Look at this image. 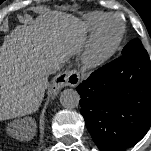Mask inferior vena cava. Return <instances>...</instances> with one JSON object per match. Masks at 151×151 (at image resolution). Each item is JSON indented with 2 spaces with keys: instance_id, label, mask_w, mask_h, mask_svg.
Here are the masks:
<instances>
[{
  "instance_id": "602c4592",
  "label": "inferior vena cava",
  "mask_w": 151,
  "mask_h": 151,
  "mask_svg": "<svg viewBox=\"0 0 151 151\" xmlns=\"http://www.w3.org/2000/svg\"><path fill=\"white\" fill-rule=\"evenodd\" d=\"M59 68H60V65L55 63V64L51 67L50 72L57 71V70H59Z\"/></svg>"
}]
</instances>
